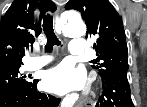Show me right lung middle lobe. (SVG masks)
I'll list each match as a JSON object with an SVG mask.
<instances>
[{
	"label": "right lung middle lobe",
	"mask_w": 147,
	"mask_h": 107,
	"mask_svg": "<svg viewBox=\"0 0 147 107\" xmlns=\"http://www.w3.org/2000/svg\"><path fill=\"white\" fill-rule=\"evenodd\" d=\"M21 65H13L0 70V95L13 90L27 87L32 81L26 79V76L19 72Z\"/></svg>",
	"instance_id": "1"
}]
</instances>
